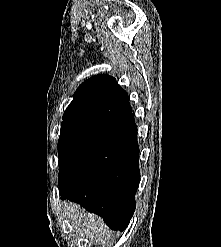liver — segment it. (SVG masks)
Wrapping results in <instances>:
<instances>
[{"instance_id":"6515ba94","label":"liver","mask_w":221,"mask_h":247,"mask_svg":"<svg viewBox=\"0 0 221 247\" xmlns=\"http://www.w3.org/2000/svg\"><path fill=\"white\" fill-rule=\"evenodd\" d=\"M64 214L69 218L73 228L78 229L87 237L96 239L99 242H106V240L111 239L112 232L104 225L101 217L87 213L78 204L66 203L64 205Z\"/></svg>"}]
</instances>
